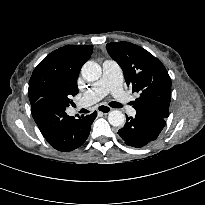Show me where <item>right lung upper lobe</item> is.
<instances>
[{
	"label": "right lung upper lobe",
	"instance_id": "cb5924a9",
	"mask_svg": "<svg viewBox=\"0 0 205 205\" xmlns=\"http://www.w3.org/2000/svg\"><path fill=\"white\" fill-rule=\"evenodd\" d=\"M92 51L93 45H67L46 56L31 76L28 89L30 104L63 91L77 94L79 72Z\"/></svg>",
	"mask_w": 205,
	"mask_h": 205
}]
</instances>
